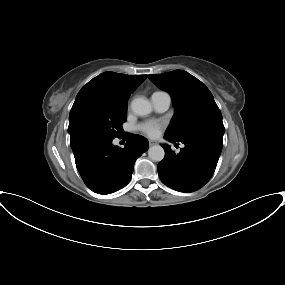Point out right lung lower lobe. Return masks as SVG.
I'll list each match as a JSON object with an SVG mask.
<instances>
[{
    "instance_id": "obj_1",
    "label": "right lung lower lobe",
    "mask_w": 285,
    "mask_h": 285,
    "mask_svg": "<svg viewBox=\"0 0 285 285\" xmlns=\"http://www.w3.org/2000/svg\"><path fill=\"white\" fill-rule=\"evenodd\" d=\"M108 139H86L71 148L76 167L86 186L99 194L125 187L132 177L136 159L148 149V140L129 134L125 148Z\"/></svg>"
}]
</instances>
